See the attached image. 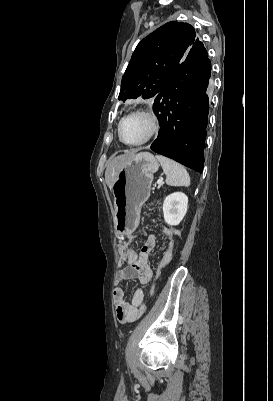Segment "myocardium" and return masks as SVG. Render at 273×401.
Masks as SVG:
<instances>
[{
  "mask_svg": "<svg viewBox=\"0 0 273 401\" xmlns=\"http://www.w3.org/2000/svg\"><path fill=\"white\" fill-rule=\"evenodd\" d=\"M134 115L146 117L151 123V129H150V132L147 134V136L145 138H143L142 140H140L138 142H134V143H128V142H125L121 138V125L127 117L134 116ZM161 128H162L161 120L155 112H153L152 110H150L148 108H138L136 110H133V111L127 113L119 120V122L117 123V127H116V134H117L118 140L123 145L128 146V147H137V146L144 145V144L148 143L149 141H151L153 138H155L160 133Z\"/></svg>",
  "mask_w": 273,
  "mask_h": 401,
  "instance_id": "myocardium-1",
  "label": "myocardium"
}]
</instances>
